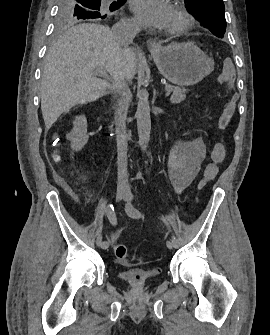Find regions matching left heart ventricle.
I'll return each instance as SVG.
<instances>
[{
  "instance_id": "b2bd125f",
  "label": "left heart ventricle",
  "mask_w": 270,
  "mask_h": 335,
  "mask_svg": "<svg viewBox=\"0 0 270 335\" xmlns=\"http://www.w3.org/2000/svg\"><path fill=\"white\" fill-rule=\"evenodd\" d=\"M178 24V18L176 19V25ZM176 52H187L185 50H179V51H176Z\"/></svg>"
}]
</instances>
